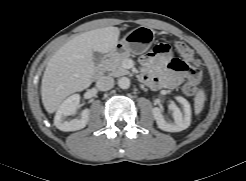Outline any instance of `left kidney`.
Returning <instances> with one entry per match:
<instances>
[{
    "label": "left kidney",
    "instance_id": "5707ae66",
    "mask_svg": "<svg viewBox=\"0 0 246 181\" xmlns=\"http://www.w3.org/2000/svg\"><path fill=\"white\" fill-rule=\"evenodd\" d=\"M176 100L182 105L181 111L175 104L169 105L174 121L166 120L162 110L158 107L153 108L152 113L158 127L167 132H180L187 129L191 123V106L189 102L182 96H177Z\"/></svg>",
    "mask_w": 246,
    "mask_h": 181
}]
</instances>
